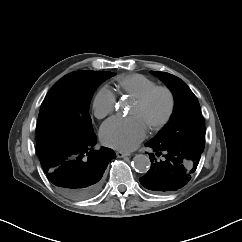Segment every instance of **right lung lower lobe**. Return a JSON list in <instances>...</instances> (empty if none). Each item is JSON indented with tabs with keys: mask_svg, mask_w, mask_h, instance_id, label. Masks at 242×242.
I'll return each mask as SVG.
<instances>
[{
	"mask_svg": "<svg viewBox=\"0 0 242 242\" xmlns=\"http://www.w3.org/2000/svg\"><path fill=\"white\" fill-rule=\"evenodd\" d=\"M96 135L85 138L57 135L37 144V155L49 181L64 195L86 199L96 195L102 176L115 153L110 148L94 150Z\"/></svg>",
	"mask_w": 242,
	"mask_h": 242,
	"instance_id": "right-lung-lower-lobe-1",
	"label": "right lung lower lobe"
}]
</instances>
